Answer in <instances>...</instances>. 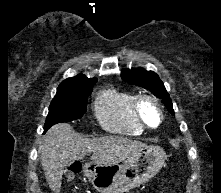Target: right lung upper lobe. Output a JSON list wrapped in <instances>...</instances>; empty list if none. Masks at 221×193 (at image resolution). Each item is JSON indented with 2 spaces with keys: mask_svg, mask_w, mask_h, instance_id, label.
<instances>
[{
  "mask_svg": "<svg viewBox=\"0 0 221 193\" xmlns=\"http://www.w3.org/2000/svg\"><path fill=\"white\" fill-rule=\"evenodd\" d=\"M97 80L95 78L88 79L86 76L80 74L72 78H67L58 87L57 90H62L66 88H76V87H88L95 83Z\"/></svg>",
  "mask_w": 221,
  "mask_h": 193,
  "instance_id": "1",
  "label": "right lung upper lobe"
}]
</instances>
